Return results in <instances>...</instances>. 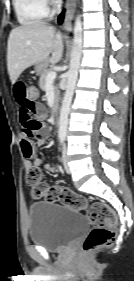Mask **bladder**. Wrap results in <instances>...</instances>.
Masks as SVG:
<instances>
[{
    "mask_svg": "<svg viewBox=\"0 0 134 281\" xmlns=\"http://www.w3.org/2000/svg\"><path fill=\"white\" fill-rule=\"evenodd\" d=\"M29 238L35 245L59 252L88 228L79 211L51 202H36L29 208Z\"/></svg>",
    "mask_w": 134,
    "mask_h": 281,
    "instance_id": "31cf9c89",
    "label": "bladder"
}]
</instances>
